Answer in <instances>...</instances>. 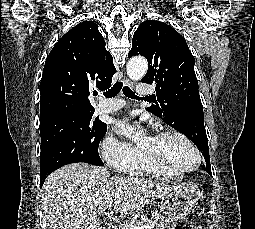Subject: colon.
Returning <instances> with one entry per match:
<instances>
[{"label": "colon", "instance_id": "5ec220e1", "mask_svg": "<svg viewBox=\"0 0 255 229\" xmlns=\"http://www.w3.org/2000/svg\"><path fill=\"white\" fill-rule=\"evenodd\" d=\"M175 229H192V227H190V225L187 222L182 221L178 223Z\"/></svg>", "mask_w": 255, "mask_h": 229}]
</instances>
